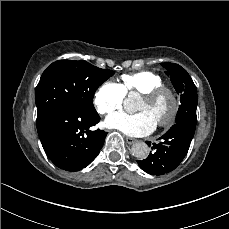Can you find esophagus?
Instances as JSON below:
<instances>
[{
    "instance_id": "esophagus-1",
    "label": "esophagus",
    "mask_w": 229,
    "mask_h": 229,
    "mask_svg": "<svg viewBox=\"0 0 229 229\" xmlns=\"http://www.w3.org/2000/svg\"><path fill=\"white\" fill-rule=\"evenodd\" d=\"M125 141L129 144V145H133L136 142H138V139L132 138V137H126Z\"/></svg>"
}]
</instances>
